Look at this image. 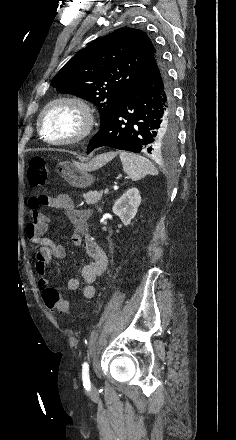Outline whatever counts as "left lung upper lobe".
<instances>
[{
    "mask_svg": "<svg viewBox=\"0 0 236 440\" xmlns=\"http://www.w3.org/2000/svg\"><path fill=\"white\" fill-rule=\"evenodd\" d=\"M156 56L157 49L143 31L119 29L94 40L70 59L51 86L95 104L103 125Z\"/></svg>",
    "mask_w": 236,
    "mask_h": 440,
    "instance_id": "left-lung-upper-lobe-1",
    "label": "left lung upper lobe"
}]
</instances>
